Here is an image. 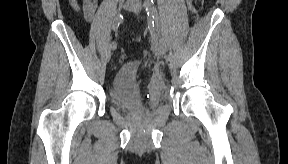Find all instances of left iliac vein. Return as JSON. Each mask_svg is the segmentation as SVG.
Listing matches in <instances>:
<instances>
[{
  "mask_svg": "<svg viewBox=\"0 0 288 164\" xmlns=\"http://www.w3.org/2000/svg\"><path fill=\"white\" fill-rule=\"evenodd\" d=\"M133 10H134V12H138L139 7L136 6V7H134ZM147 22H148L149 30H150L153 41L155 42L160 55L163 58H165V54L167 51V45H166L164 39L162 38V36L160 35L158 29L156 27H153V25L151 24V18L148 17Z\"/></svg>",
  "mask_w": 288,
  "mask_h": 164,
  "instance_id": "obj_1",
  "label": "left iliac vein"
}]
</instances>
